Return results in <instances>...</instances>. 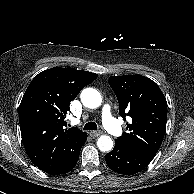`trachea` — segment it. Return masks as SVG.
Listing matches in <instances>:
<instances>
[{"label":"trachea","instance_id":"3493384b","mask_svg":"<svg viewBox=\"0 0 194 194\" xmlns=\"http://www.w3.org/2000/svg\"><path fill=\"white\" fill-rule=\"evenodd\" d=\"M83 129L84 130H97L98 127H97V124L95 122L90 121V122L85 124Z\"/></svg>","mask_w":194,"mask_h":194}]
</instances>
